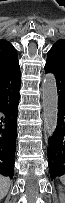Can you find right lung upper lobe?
<instances>
[{
  "label": "right lung upper lobe",
  "mask_w": 65,
  "mask_h": 203,
  "mask_svg": "<svg viewBox=\"0 0 65 203\" xmlns=\"http://www.w3.org/2000/svg\"><path fill=\"white\" fill-rule=\"evenodd\" d=\"M20 69L16 49L7 41L0 40V72L10 73Z\"/></svg>",
  "instance_id": "1"
}]
</instances>
